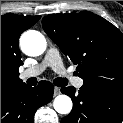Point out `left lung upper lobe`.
Returning a JSON list of instances; mask_svg holds the SVG:
<instances>
[{
  "label": "left lung upper lobe",
  "instance_id": "left-lung-upper-lobe-1",
  "mask_svg": "<svg viewBox=\"0 0 123 123\" xmlns=\"http://www.w3.org/2000/svg\"><path fill=\"white\" fill-rule=\"evenodd\" d=\"M42 25L84 84L123 93V34L114 25L90 12L48 15Z\"/></svg>",
  "mask_w": 123,
  "mask_h": 123
}]
</instances>
